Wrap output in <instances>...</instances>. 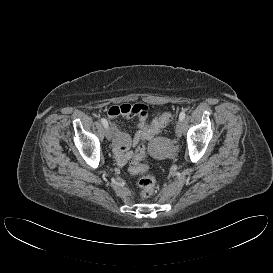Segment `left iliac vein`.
I'll list each match as a JSON object with an SVG mask.
<instances>
[{
  "instance_id": "1",
  "label": "left iliac vein",
  "mask_w": 273,
  "mask_h": 273,
  "mask_svg": "<svg viewBox=\"0 0 273 273\" xmlns=\"http://www.w3.org/2000/svg\"><path fill=\"white\" fill-rule=\"evenodd\" d=\"M175 132H176L177 137L180 138V137L182 136V132H183V122H182V120H180V119L176 122Z\"/></svg>"
}]
</instances>
